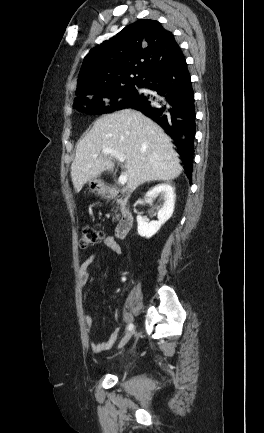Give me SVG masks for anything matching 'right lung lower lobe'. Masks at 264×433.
Returning <instances> with one entry per match:
<instances>
[{"label": "right lung lower lobe", "instance_id": "98d812e1", "mask_svg": "<svg viewBox=\"0 0 264 433\" xmlns=\"http://www.w3.org/2000/svg\"><path fill=\"white\" fill-rule=\"evenodd\" d=\"M154 95L138 94L123 108H132L158 123L174 140L187 177L192 180L195 105L191 78L182 52L156 66L139 83Z\"/></svg>", "mask_w": 264, "mask_h": 433}]
</instances>
